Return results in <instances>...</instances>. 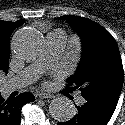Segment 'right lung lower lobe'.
Wrapping results in <instances>:
<instances>
[{
    "label": "right lung lower lobe",
    "mask_w": 125,
    "mask_h": 125,
    "mask_svg": "<svg viewBox=\"0 0 125 125\" xmlns=\"http://www.w3.org/2000/svg\"><path fill=\"white\" fill-rule=\"evenodd\" d=\"M33 101H35V97L31 93H21L17 97L7 100L0 94V125H19L22 106Z\"/></svg>",
    "instance_id": "1"
}]
</instances>
